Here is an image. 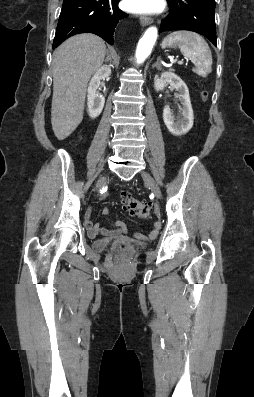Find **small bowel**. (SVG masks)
<instances>
[{
  "instance_id": "obj_1",
  "label": "small bowel",
  "mask_w": 254,
  "mask_h": 397,
  "mask_svg": "<svg viewBox=\"0 0 254 397\" xmlns=\"http://www.w3.org/2000/svg\"><path fill=\"white\" fill-rule=\"evenodd\" d=\"M109 213V211L107 209L104 210V214L107 215ZM91 214H92V209H89L86 213L85 216V226L88 230V235L91 238H95L98 234H106V235H111L113 233L116 232H125L126 228L125 225L122 222H116L115 230H107L102 228L98 223H95L92 221L91 219ZM160 229V223L156 222L154 224V229L152 230V232L150 233L149 237L153 238L157 235L158 231Z\"/></svg>"
}]
</instances>
